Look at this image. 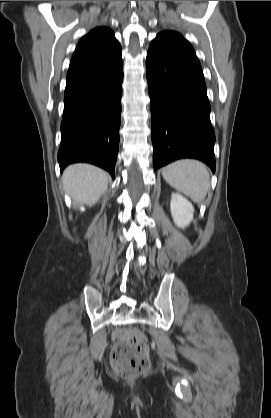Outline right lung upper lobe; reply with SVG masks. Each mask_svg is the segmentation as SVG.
I'll list each match as a JSON object with an SVG mask.
<instances>
[{
	"label": "right lung upper lobe",
	"mask_w": 271,
	"mask_h": 418,
	"mask_svg": "<svg viewBox=\"0 0 271 418\" xmlns=\"http://www.w3.org/2000/svg\"><path fill=\"white\" fill-rule=\"evenodd\" d=\"M122 49L114 32L97 27L83 36L72 56L67 73L65 95L94 81L118 63Z\"/></svg>",
	"instance_id": "obj_1"
}]
</instances>
